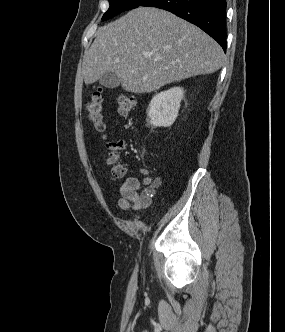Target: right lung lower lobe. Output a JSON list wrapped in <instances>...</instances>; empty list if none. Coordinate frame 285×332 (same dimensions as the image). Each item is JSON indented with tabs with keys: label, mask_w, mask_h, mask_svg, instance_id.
Wrapping results in <instances>:
<instances>
[{
	"label": "right lung lower lobe",
	"mask_w": 285,
	"mask_h": 332,
	"mask_svg": "<svg viewBox=\"0 0 285 332\" xmlns=\"http://www.w3.org/2000/svg\"><path fill=\"white\" fill-rule=\"evenodd\" d=\"M141 6L161 8L195 24L226 51V0H146Z\"/></svg>",
	"instance_id": "right-lung-lower-lobe-1"
}]
</instances>
